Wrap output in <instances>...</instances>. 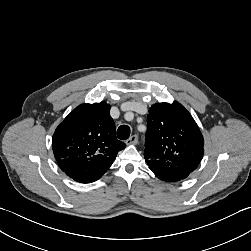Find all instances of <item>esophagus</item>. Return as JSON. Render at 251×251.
<instances>
[{
	"label": "esophagus",
	"mask_w": 251,
	"mask_h": 251,
	"mask_svg": "<svg viewBox=\"0 0 251 251\" xmlns=\"http://www.w3.org/2000/svg\"><path fill=\"white\" fill-rule=\"evenodd\" d=\"M138 142V136L137 135H132L129 139L126 140L127 145H132L136 144Z\"/></svg>",
	"instance_id": "34e87169"
}]
</instances>
